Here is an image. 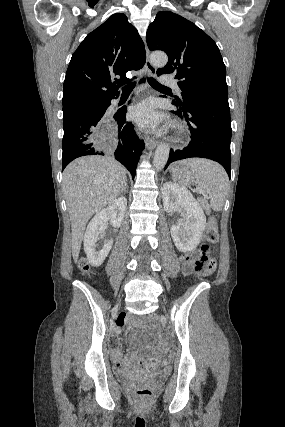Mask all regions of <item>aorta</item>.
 I'll list each match as a JSON object with an SVG mask.
<instances>
[{
  "label": "aorta",
  "instance_id": "762f6f07",
  "mask_svg": "<svg viewBox=\"0 0 285 427\" xmlns=\"http://www.w3.org/2000/svg\"><path fill=\"white\" fill-rule=\"evenodd\" d=\"M151 63L155 67H164L168 62V57L163 52H154L150 57ZM170 148L166 143H160L155 151L153 165L155 169L161 170L166 165L169 158Z\"/></svg>",
  "mask_w": 285,
  "mask_h": 427
}]
</instances>
